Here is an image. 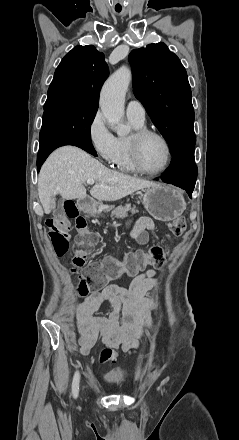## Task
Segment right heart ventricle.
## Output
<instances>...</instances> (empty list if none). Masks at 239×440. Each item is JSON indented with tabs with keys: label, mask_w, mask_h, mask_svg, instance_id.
I'll return each mask as SVG.
<instances>
[{
	"label": "right heart ventricle",
	"mask_w": 239,
	"mask_h": 440,
	"mask_svg": "<svg viewBox=\"0 0 239 440\" xmlns=\"http://www.w3.org/2000/svg\"><path fill=\"white\" fill-rule=\"evenodd\" d=\"M136 127H142L143 124H136L132 122ZM115 166L126 173H136V169L134 168L129 151V138L128 137H120L119 138V154L114 162Z\"/></svg>",
	"instance_id": "right-heart-ventricle-1"
}]
</instances>
